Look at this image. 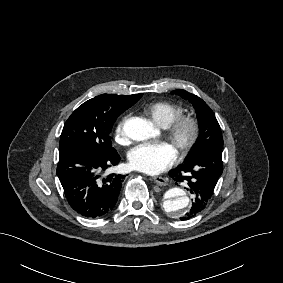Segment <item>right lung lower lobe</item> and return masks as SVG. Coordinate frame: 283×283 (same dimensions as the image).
I'll list each match as a JSON object with an SVG mask.
<instances>
[{
    "label": "right lung lower lobe",
    "mask_w": 283,
    "mask_h": 283,
    "mask_svg": "<svg viewBox=\"0 0 283 283\" xmlns=\"http://www.w3.org/2000/svg\"><path fill=\"white\" fill-rule=\"evenodd\" d=\"M115 149L99 154L84 145L59 149L57 175L65 197L74 211L86 218H100L114 208L124 176L110 174L102 179L99 172L118 164Z\"/></svg>",
    "instance_id": "right-lung-lower-lobe-1"
}]
</instances>
